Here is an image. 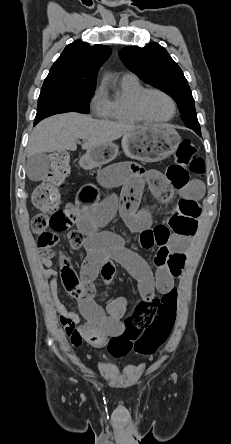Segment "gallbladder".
Instances as JSON below:
<instances>
[{
  "label": "gallbladder",
  "mask_w": 231,
  "mask_h": 444,
  "mask_svg": "<svg viewBox=\"0 0 231 444\" xmlns=\"http://www.w3.org/2000/svg\"><path fill=\"white\" fill-rule=\"evenodd\" d=\"M49 171L48 156L45 153H36L30 156L26 163L27 176L32 181L41 180Z\"/></svg>",
  "instance_id": "bac80fb5"
}]
</instances>
